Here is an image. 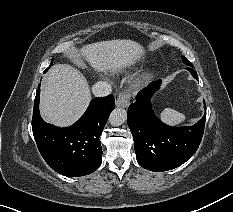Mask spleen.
I'll use <instances>...</instances> for the list:
<instances>
[{"label": "spleen", "instance_id": "spleen-1", "mask_svg": "<svg viewBox=\"0 0 233 212\" xmlns=\"http://www.w3.org/2000/svg\"><path fill=\"white\" fill-rule=\"evenodd\" d=\"M160 118L163 122L169 125L176 126L181 124L185 120V115L171 108H165L161 112Z\"/></svg>", "mask_w": 233, "mask_h": 212}]
</instances>
